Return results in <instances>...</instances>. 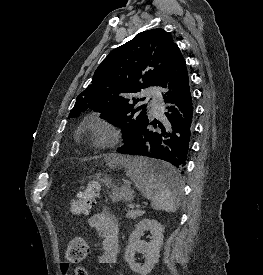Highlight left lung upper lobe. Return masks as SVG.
<instances>
[{
  "label": "left lung upper lobe",
  "instance_id": "1",
  "mask_svg": "<svg viewBox=\"0 0 263 275\" xmlns=\"http://www.w3.org/2000/svg\"><path fill=\"white\" fill-rule=\"evenodd\" d=\"M179 50L163 29H151L112 50L96 69L92 83L77 98L69 117L91 109L109 123L120 127L123 141L130 139L148 118L145 98L132 94L159 82Z\"/></svg>",
  "mask_w": 263,
  "mask_h": 275
}]
</instances>
